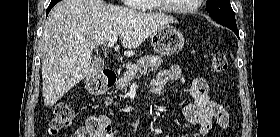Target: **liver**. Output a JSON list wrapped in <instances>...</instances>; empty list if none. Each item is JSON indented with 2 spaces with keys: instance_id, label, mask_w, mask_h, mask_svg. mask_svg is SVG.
I'll return each mask as SVG.
<instances>
[{
  "instance_id": "obj_1",
  "label": "liver",
  "mask_w": 280,
  "mask_h": 137,
  "mask_svg": "<svg viewBox=\"0 0 280 137\" xmlns=\"http://www.w3.org/2000/svg\"><path fill=\"white\" fill-rule=\"evenodd\" d=\"M174 21L162 13H142L103 0L60 1L49 13L42 34L45 106H53L92 75L90 59L95 47L120 36L124 55L130 57L153 32Z\"/></svg>"
}]
</instances>
